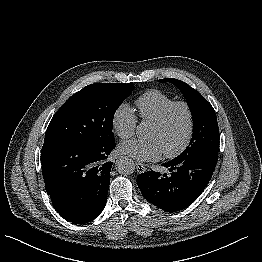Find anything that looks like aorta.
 Listing matches in <instances>:
<instances>
[{"label": "aorta", "instance_id": "aorta-1", "mask_svg": "<svg viewBox=\"0 0 262 262\" xmlns=\"http://www.w3.org/2000/svg\"><path fill=\"white\" fill-rule=\"evenodd\" d=\"M146 131V124L144 122L140 123L136 128V134L142 136ZM116 170L123 175L132 174L135 170L134 162L131 158L122 156L116 161Z\"/></svg>", "mask_w": 262, "mask_h": 262}]
</instances>
